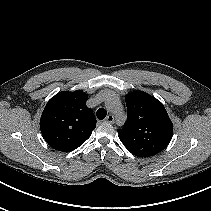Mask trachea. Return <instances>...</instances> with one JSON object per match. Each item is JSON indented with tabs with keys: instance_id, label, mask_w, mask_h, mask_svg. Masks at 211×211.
Returning <instances> with one entry per match:
<instances>
[{
	"instance_id": "trachea-1",
	"label": "trachea",
	"mask_w": 211,
	"mask_h": 211,
	"mask_svg": "<svg viewBox=\"0 0 211 211\" xmlns=\"http://www.w3.org/2000/svg\"><path fill=\"white\" fill-rule=\"evenodd\" d=\"M96 114H97V118L100 119V120H102V119H104L106 117L107 111L104 108H99L97 110V113Z\"/></svg>"
}]
</instances>
